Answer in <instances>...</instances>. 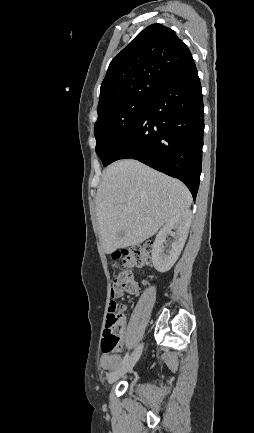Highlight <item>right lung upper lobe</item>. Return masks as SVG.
<instances>
[{"mask_svg":"<svg viewBox=\"0 0 254 433\" xmlns=\"http://www.w3.org/2000/svg\"><path fill=\"white\" fill-rule=\"evenodd\" d=\"M192 61L186 44L172 29L158 23L148 26L111 61L98 110L128 99H151Z\"/></svg>","mask_w":254,"mask_h":433,"instance_id":"cb5924a9","label":"right lung upper lobe"}]
</instances>
